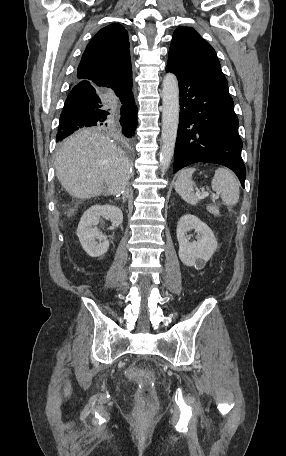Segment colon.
Masks as SVG:
<instances>
[{"label":"colon","mask_w":286,"mask_h":456,"mask_svg":"<svg viewBox=\"0 0 286 456\" xmlns=\"http://www.w3.org/2000/svg\"><path fill=\"white\" fill-rule=\"evenodd\" d=\"M127 375L139 385L137 390L136 413L143 414L145 412H149L157 402L154 389V375L135 366L128 368Z\"/></svg>","instance_id":"colon-1"}]
</instances>
